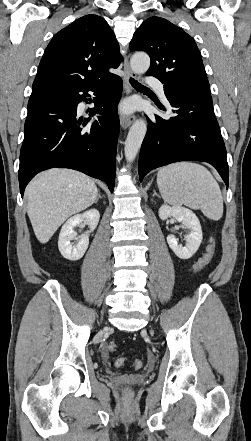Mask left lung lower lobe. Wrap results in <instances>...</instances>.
Here are the masks:
<instances>
[{
	"label": "left lung lower lobe",
	"instance_id": "obj_1",
	"mask_svg": "<svg viewBox=\"0 0 251 441\" xmlns=\"http://www.w3.org/2000/svg\"><path fill=\"white\" fill-rule=\"evenodd\" d=\"M164 86L172 107L169 118L155 115L148 120V130L139 157V178L152 169L178 161H204L213 165L228 187L226 148L213 110L211 94L192 91L187 95L171 92ZM159 109L165 111L162 105Z\"/></svg>",
	"mask_w": 251,
	"mask_h": 441
}]
</instances>
